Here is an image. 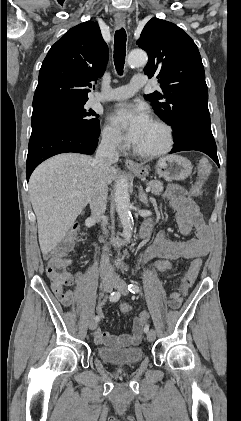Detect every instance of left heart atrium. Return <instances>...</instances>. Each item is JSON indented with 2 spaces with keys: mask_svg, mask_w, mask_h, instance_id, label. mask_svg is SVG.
<instances>
[{
  "mask_svg": "<svg viewBox=\"0 0 241 421\" xmlns=\"http://www.w3.org/2000/svg\"><path fill=\"white\" fill-rule=\"evenodd\" d=\"M110 120L115 127L122 129L126 139L134 144L151 122L143 108L131 104L118 105L111 113Z\"/></svg>",
  "mask_w": 241,
  "mask_h": 421,
  "instance_id": "39dd6f15",
  "label": "left heart atrium"
}]
</instances>
